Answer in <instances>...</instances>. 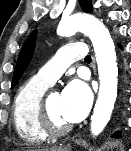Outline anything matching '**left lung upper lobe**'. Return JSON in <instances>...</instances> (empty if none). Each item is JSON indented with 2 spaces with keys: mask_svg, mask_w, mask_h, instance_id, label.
<instances>
[{
  "mask_svg": "<svg viewBox=\"0 0 131 151\" xmlns=\"http://www.w3.org/2000/svg\"><path fill=\"white\" fill-rule=\"evenodd\" d=\"M79 1L83 11L88 13L92 11L91 0H79ZM36 35L37 31L34 30L30 34V36L28 37L20 51L17 64L14 70L12 87H14L18 83L19 79L21 78V76L23 75L24 71L26 70L27 66L31 61L35 48Z\"/></svg>",
  "mask_w": 131,
  "mask_h": 151,
  "instance_id": "1",
  "label": "left lung upper lobe"
}]
</instances>
